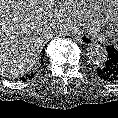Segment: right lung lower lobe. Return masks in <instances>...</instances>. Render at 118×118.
<instances>
[{
	"label": "right lung lower lobe",
	"instance_id": "1",
	"mask_svg": "<svg viewBox=\"0 0 118 118\" xmlns=\"http://www.w3.org/2000/svg\"><path fill=\"white\" fill-rule=\"evenodd\" d=\"M42 62H43V60H42ZM36 74V72L35 73H31V75H29L28 77L30 78V77H33L34 75ZM21 80V79H20ZM22 80H24V78H22Z\"/></svg>",
	"mask_w": 118,
	"mask_h": 118
}]
</instances>
